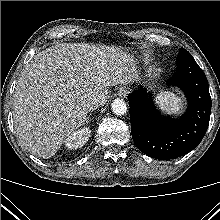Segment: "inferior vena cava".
<instances>
[{"label": "inferior vena cava", "mask_w": 220, "mask_h": 220, "mask_svg": "<svg viewBox=\"0 0 220 220\" xmlns=\"http://www.w3.org/2000/svg\"><path fill=\"white\" fill-rule=\"evenodd\" d=\"M100 105V100L97 97H93L89 99L86 104L85 108L88 112L96 110Z\"/></svg>", "instance_id": "602c4592"}]
</instances>
